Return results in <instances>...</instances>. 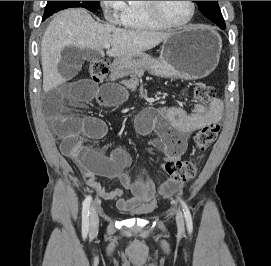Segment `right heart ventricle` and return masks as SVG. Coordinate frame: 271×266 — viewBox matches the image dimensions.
Wrapping results in <instances>:
<instances>
[{"mask_svg":"<svg viewBox=\"0 0 271 266\" xmlns=\"http://www.w3.org/2000/svg\"><path fill=\"white\" fill-rule=\"evenodd\" d=\"M122 23L125 27L134 30H158L163 28L144 12L142 5L134 3L126 5Z\"/></svg>","mask_w":271,"mask_h":266,"instance_id":"e07e8e85","label":"right heart ventricle"}]
</instances>
